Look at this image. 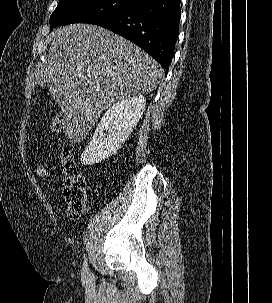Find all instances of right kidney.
Here are the masks:
<instances>
[{"instance_id":"1","label":"right kidney","mask_w":272,"mask_h":303,"mask_svg":"<svg viewBox=\"0 0 272 303\" xmlns=\"http://www.w3.org/2000/svg\"><path fill=\"white\" fill-rule=\"evenodd\" d=\"M145 107L146 98L142 95L118 101L110 107L83 152L81 163L90 166L115 154L136 127Z\"/></svg>"}]
</instances>
